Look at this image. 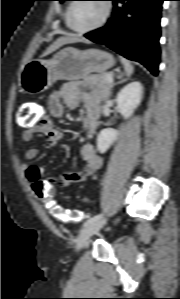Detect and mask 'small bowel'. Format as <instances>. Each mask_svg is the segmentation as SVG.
<instances>
[{
    "mask_svg": "<svg viewBox=\"0 0 180 299\" xmlns=\"http://www.w3.org/2000/svg\"><path fill=\"white\" fill-rule=\"evenodd\" d=\"M82 103L86 109V128L92 136L99 123L100 101L85 85L74 83L63 87L60 91L50 95L48 99L49 116H46L39 124L26 128L22 133L23 142L31 140L35 133L45 135L49 145H57L62 140V132L54 126L52 118L61 119L65 115V106L74 109ZM81 157L85 162L83 171H68L61 176L46 179L44 170L38 167L24 166L26 179L34 184L35 182L54 183L61 187H67L83 181L87 176L95 174L102 166V158L96 153L92 144L86 143L81 147ZM38 149L29 148L25 151V159L30 161L37 157Z\"/></svg>",
    "mask_w": 180,
    "mask_h": 299,
    "instance_id": "small-bowel-1",
    "label": "small bowel"
}]
</instances>
